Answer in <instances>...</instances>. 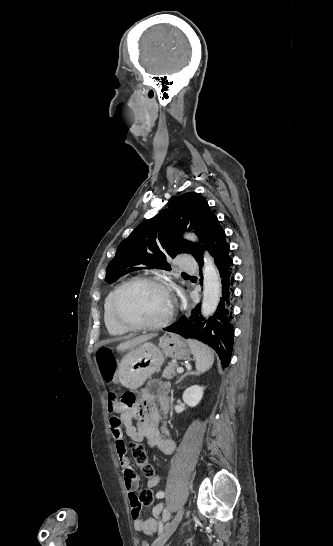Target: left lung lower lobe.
Wrapping results in <instances>:
<instances>
[{
    "label": "left lung lower lobe",
    "mask_w": 333,
    "mask_h": 546,
    "mask_svg": "<svg viewBox=\"0 0 333 546\" xmlns=\"http://www.w3.org/2000/svg\"><path fill=\"white\" fill-rule=\"evenodd\" d=\"M211 250L216 266L219 270L222 283V297L216 312L208 320L199 316L197 306L187 316H183L176 323L164 330L179 334L187 339H197L212 347L218 354L223 368L228 367L233 347L232 307L230 304L234 289L232 278V259L229 256L230 246L225 240V232L218 219L215 220L211 234L205 243ZM200 267L203 266L202 248L195 256Z\"/></svg>",
    "instance_id": "obj_1"
}]
</instances>
